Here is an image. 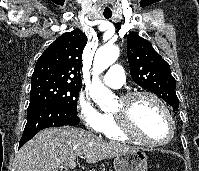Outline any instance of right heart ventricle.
Listing matches in <instances>:
<instances>
[{
  "instance_id": "e07e8e85",
  "label": "right heart ventricle",
  "mask_w": 199,
  "mask_h": 171,
  "mask_svg": "<svg viewBox=\"0 0 199 171\" xmlns=\"http://www.w3.org/2000/svg\"><path fill=\"white\" fill-rule=\"evenodd\" d=\"M102 133L111 140L125 141L131 140L130 137L122 133L116 123V120L112 113L105 114V125Z\"/></svg>"
}]
</instances>
